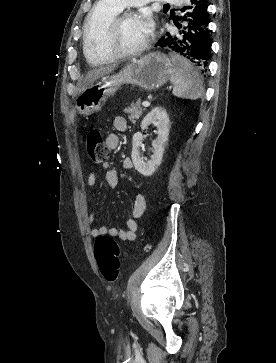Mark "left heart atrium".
Returning <instances> with one entry per match:
<instances>
[{"label":"left heart atrium","instance_id":"1","mask_svg":"<svg viewBox=\"0 0 276 363\" xmlns=\"http://www.w3.org/2000/svg\"><path fill=\"white\" fill-rule=\"evenodd\" d=\"M138 18L143 31L149 35L152 32L154 26L151 16L147 13H143Z\"/></svg>","mask_w":276,"mask_h":363}]
</instances>
